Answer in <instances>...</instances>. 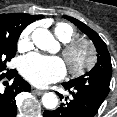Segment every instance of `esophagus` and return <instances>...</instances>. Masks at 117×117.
<instances>
[{
	"instance_id": "34e87169",
	"label": "esophagus",
	"mask_w": 117,
	"mask_h": 117,
	"mask_svg": "<svg viewBox=\"0 0 117 117\" xmlns=\"http://www.w3.org/2000/svg\"><path fill=\"white\" fill-rule=\"evenodd\" d=\"M32 91H33L35 94H37V95H42V94L45 93L44 91L38 90V89H36V88H33Z\"/></svg>"
}]
</instances>
